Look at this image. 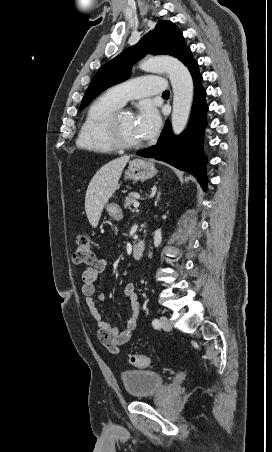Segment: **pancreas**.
I'll return each mask as SVG.
<instances>
[{
    "label": "pancreas",
    "instance_id": "obj_1",
    "mask_svg": "<svg viewBox=\"0 0 272 452\" xmlns=\"http://www.w3.org/2000/svg\"><path fill=\"white\" fill-rule=\"evenodd\" d=\"M136 202V193L131 192L128 194V196L124 199V207L131 209V206Z\"/></svg>",
    "mask_w": 272,
    "mask_h": 452
}]
</instances>
